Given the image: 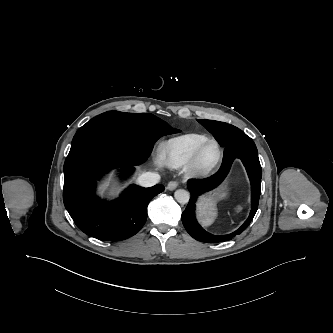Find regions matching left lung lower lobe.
Masks as SVG:
<instances>
[{
	"label": "left lung lower lobe",
	"mask_w": 333,
	"mask_h": 333,
	"mask_svg": "<svg viewBox=\"0 0 333 333\" xmlns=\"http://www.w3.org/2000/svg\"><path fill=\"white\" fill-rule=\"evenodd\" d=\"M241 159L251 182V211L248 219L236 231L227 235H213L206 232L197 222L195 218V202L198 195L220 185L227 177L233 160ZM262 169L258 158V151L253 140L244 132H240L232 136L224 147V159L219 170L204 179H192L187 183V187L191 192V199L182 213V222L187 232L196 240L207 243L224 242L232 239L236 235L241 234L250 224L258 209L259 197L261 192Z\"/></svg>",
	"instance_id": "left-lung-lower-lobe-1"
}]
</instances>
